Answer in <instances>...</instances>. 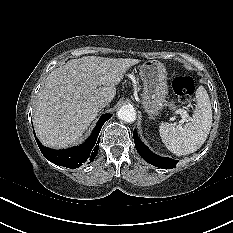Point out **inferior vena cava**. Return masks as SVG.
I'll return each instance as SVG.
<instances>
[{
  "label": "inferior vena cava",
  "mask_w": 233,
  "mask_h": 233,
  "mask_svg": "<svg viewBox=\"0 0 233 233\" xmlns=\"http://www.w3.org/2000/svg\"><path fill=\"white\" fill-rule=\"evenodd\" d=\"M110 103L108 98H102L98 101V105L103 108L106 107Z\"/></svg>",
  "instance_id": "602c4592"
}]
</instances>
